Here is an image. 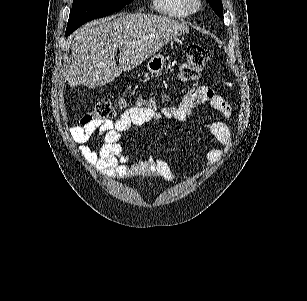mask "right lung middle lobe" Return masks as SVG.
<instances>
[{
    "label": "right lung middle lobe",
    "instance_id": "dd1d6c3e",
    "mask_svg": "<svg viewBox=\"0 0 307 301\" xmlns=\"http://www.w3.org/2000/svg\"><path fill=\"white\" fill-rule=\"evenodd\" d=\"M133 0H74L66 29L70 35L84 23L120 11Z\"/></svg>",
    "mask_w": 307,
    "mask_h": 301
}]
</instances>
